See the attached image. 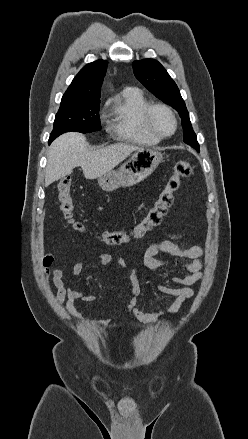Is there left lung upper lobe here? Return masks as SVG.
<instances>
[{
    "mask_svg": "<svg viewBox=\"0 0 248 439\" xmlns=\"http://www.w3.org/2000/svg\"><path fill=\"white\" fill-rule=\"evenodd\" d=\"M136 78L157 98L178 111L183 126V141L199 151L196 134L193 131L189 113L180 91L164 67L154 59L133 62Z\"/></svg>",
    "mask_w": 248,
    "mask_h": 439,
    "instance_id": "obj_1",
    "label": "left lung upper lobe"
}]
</instances>
